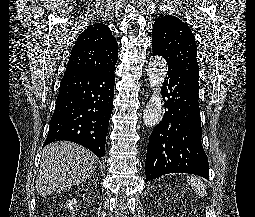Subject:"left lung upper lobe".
<instances>
[{
	"instance_id": "5c2ea615",
	"label": "left lung upper lobe",
	"mask_w": 255,
	"mask_h": 217,
	"mask_svg": "<svg viewBox=\"0 0 255 217\" xmlns=\"http://www.w3.org/2000/svg\"><path fill=\"white\" fill-rule=\"evenodd\" d=\"M152 30L153 53L162 56L169 68L178 69L199 80L197 45L189 27L175 16L161 15Z\"/></svg>"
}]
</instances>
